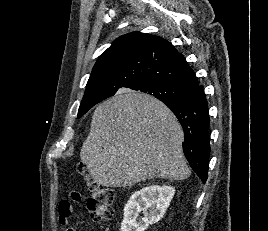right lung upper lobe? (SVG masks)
<instances>
[{"mask_svg": "<svg viewBox=\"0 0 268 231\" xmlns=\"http://www.w3.org/2000/svg\"><path fill=\"white\" fill-rule=\"evenodd\" d=\"M148 80L190 92L198 85L194 71L166 39L141 32L123 35L98 58L82 103L97 104L119 88Z\"/></svg>", "mask_w": 268, "mask_h": 231, "instance_id": "obj_1", "label": "right lung upper lobe"}]
</instances>
